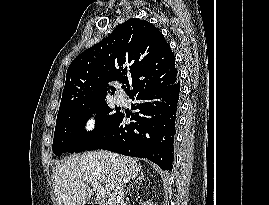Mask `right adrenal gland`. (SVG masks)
Wrapping results in <instances>:
<instances>
[{
	"label": "right adrenal gland",
	"instance_id": "right-adrenal-gland-1",
	"mask_svg": "<svg viewBox=\"0 0 269 205\" xmlns=\"http://www.w3.org/2000/svg\"><path fill=\"white\" fill-rule=\"evenodd\" d=\"M142 180H144V176H143V173L140 174V176L138 178H136L134 180V182H132L130 184V186L127 188V191L126 193H128L132 188H134V186L138 183V182H141Z\"/></svg>",
	"mask_w": 269,
	"mask_h": 205
}]
</instances>
